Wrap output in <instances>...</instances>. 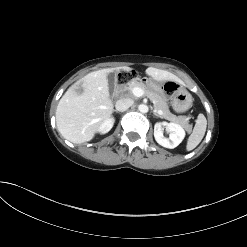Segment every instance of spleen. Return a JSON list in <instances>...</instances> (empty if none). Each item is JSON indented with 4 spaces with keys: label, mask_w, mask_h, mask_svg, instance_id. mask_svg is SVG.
Here are the masks:
<instances>
[{
    "label": "spleen",
    "mask_w": 247,
    "mask_h": 247,
    "mask_svg": "<svg viewBox=\"0 0 247 247\" xmlns=\"http://www.w3.org/2000/svg\"><path fill=\"white\" fill-rule=\"evenodd\" d=\"M207 127V120L203 114H199L192 134L189 136L186 149L193 150L202 141Z\"/></svg>",
    "instance_id": "obj_1"
}]
</instances>
